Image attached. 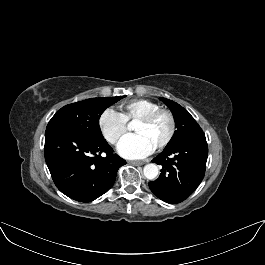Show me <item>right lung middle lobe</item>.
Segmentation results:
<instances>
[{
	"label": "right lung middle lobe",
	"instance_id": "right-lung-middle-lobe-1",
	"mask_svg": "<svg viewBox=\"0 0 265 265\" xmlns=\"http://www.w3.org/2000/svg\"><path fill=\"white\" fill-rule=\"evenodd\" d=\"M124 96L91 98L68 104L58 110L47 125V129L69 128L93 137H103L99 119L106 108Z\"/></svg>",
	"mask_w": 265,
	"mask_h": 265
}]
</instances>
